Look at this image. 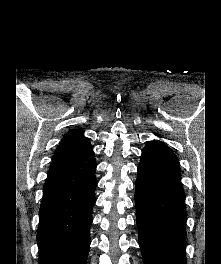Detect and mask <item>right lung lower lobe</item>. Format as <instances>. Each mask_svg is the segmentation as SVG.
I'll list each match as a JSON object with an SVG mask.
<instances>
[{
	"label": "right lung lower lobe",
	"mask_w": 221,
	"mask_h": 264,
	"mask_svg": "<svg viewBox=\"0 0 221 264\" xmlns=\"http://www.w3.org/2000/svg\"><path fill=\"white\" fill-rule=\"evenodd\" d=\"M95 171L93 152L51 165L39 210V264H86Z\"/></svg>",
	"instance_id": "obj_1"
}]
</instances>
